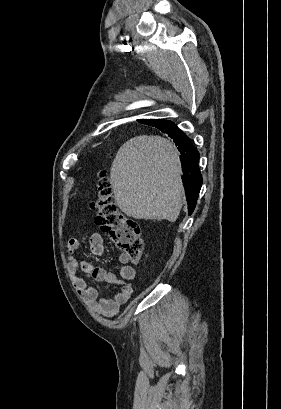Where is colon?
Wrapping results in <instances>:
<instances>
[{
	"label": "colon",
	"mask_w": 281,
	"mask_h": 409,
	"mask_svg": "<svg viewBox=\"0 0 281 409\" xmlns=\"http://www.w3.org/2000/svg\"><path fill=\"white\" fill-rule=\"evenodd\" d=\"M96 211L95 223L102 231L111 236L121 252L123 260L136 263L143 252V239L139 224L124 215L117 207L112 183L101 180L98 195L93 202Z\"/></svg>",
	"instance_id": "obj_1"
}]
</instances>
